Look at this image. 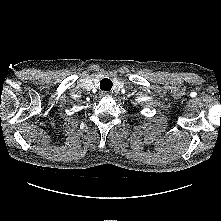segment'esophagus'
<instances>
[{
  "instance_id": "esophagus-1",
  "label": "esophagus",
  "mask_w": 221,
  "mask_h": 221,
  "mask_svg": "<svg viewBox=\"0 0 221 221\" xmlns=\"http://www.w3.org/2000/svg\"><path fill=\"white\" fill-rule=\"evenodd\" d=\"M101 95H102L103 97H109V96H110V94H109L107 91H102V92H101Z\"/></svg>"
}]
</instances>
